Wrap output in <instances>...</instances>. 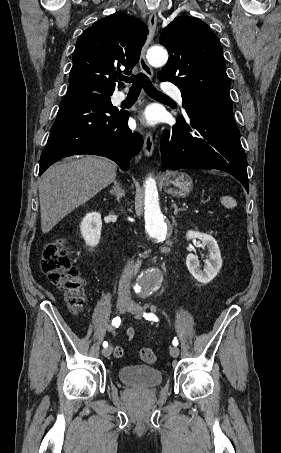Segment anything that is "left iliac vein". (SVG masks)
Here are the masks:
<instances>
[{
  "instance_id": "4c4485c4",
  "label": "left iliac vein",
  "mask_w": 281,
  "mask_h": 453,
  "mask_svg": "<svg viewBox=\"0 0 281 453\" xmlns=\"http://www.w3.org/2000/svg\"><path fill=\"white\" fill-rule=\"evenodd\" d=\"M128 308L125 309V313H132L135 315H141L142 314V309L140 307V304H137L136 302H130L129 305L127 306ZM144 313V312H143ZM171 355L172 356H177L178 355V347L177 346H172L171 347Z\"/></svg>"
}]
</instances>
